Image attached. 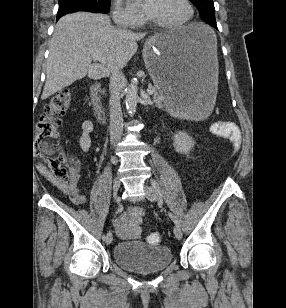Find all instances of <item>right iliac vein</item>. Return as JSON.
Segmentation results:
<instances>
[{
    "mask_svg": "<svg viewBox=\"0 0 286 308\" xmlns=\"http://www.w3.org/2000/svg\"><path fill=\"white\" fill-rule=\"evenodd\" d=\"M119 188H120V181H119L118 177H115L114 180H113V196L114 197H116ZM112 239H113L112 233L108 232L107 235H106V238H105V243L107 245L111 244Z\"/></svg>",
    "mask_w": 286,
    "mask_h": 308,
    "instance_id": "63e3f726",
    "label": "right iliac vein"
}]
</instances>
